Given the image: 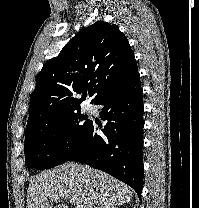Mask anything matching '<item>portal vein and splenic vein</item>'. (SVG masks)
Segmentation results:
<instances>
[{
  "instance_id": "18ae733b",
  "label": "portal vein and splenic vein",
  "mask_w": 199,
  "mask_h": 208,
  "mask_svg": "<svg viewBox=\"0 0 199 208\" xmlns=\"http://www.w3.org/2000/svg\"><path fill=\"white\" fill-rule=\"evenodd\" d=\"M63 200H67V199H63ZM70 203H73L74 205H76V208H81L80 205L77 204V202L74 199H70L69 200Z\"/></svg>"
}]
</instances>
